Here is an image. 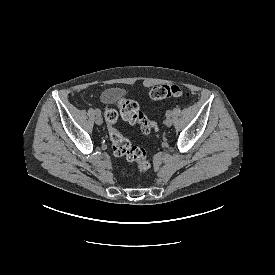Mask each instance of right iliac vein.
<instances>
[{
    "label": "right iliac vein",
    "mask_w": 275,
    "mask_h": 275,
    "mask_svg": "<svg viewBox=\"0 0 275 275\" xmlns=\"http://www.w3.org/2000/svg\"><path fill=\"white\" fill-rule=\"evenodd\" d=\"M95 122H96L97 125H101V124L103 123V119H102L100 113H97V114H96Z\"/></svg>",
    "instance_id": "1"
}]
</instances>
